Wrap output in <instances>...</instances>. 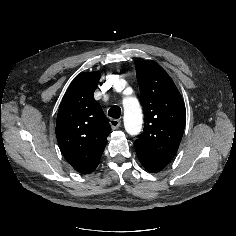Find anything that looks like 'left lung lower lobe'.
I'll use <instances>...</instances> for the list:
<instances>
[{
  "instance_id": "obj_1",
  "label": "left lung lower lobe",
  "mask_w": 236,
  "mask_h": 236,
  "mask_svg": "<svg viewBox=\"0 0 236 236\" xmlns=\"http://www.w3.org/2000/svg\"><path fill=\"white\" fill-rule=\"evenodd\" d=\"M136 153L143 167L152 173L160 172L168 165L166 161L151 157L142 152Z\"/></svg>"
}]
</instances>
